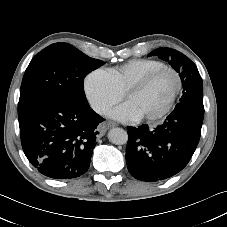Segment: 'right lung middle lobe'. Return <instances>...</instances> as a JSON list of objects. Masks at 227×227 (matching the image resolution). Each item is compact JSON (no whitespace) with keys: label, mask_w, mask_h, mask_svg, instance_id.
Returning <instances> with one entry per match:
<instances>
[{"label":"right lung middle lobe","mask_w":227,"mask_h":227,"mask_svg":"<svg viewBox=\"0 0 227 227\" xmlns=\"http://www.w3.org/2000/svg\"><path fill=\"white\" fill-rule=\"evenodd\" d=\"M104 62L90 58L68 43L52 44L30 62L23 77L18 114L47 100L89 106L83 81Z\"/></svg>","instance_id":"dd1d6c3e"}]
</instances>
